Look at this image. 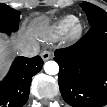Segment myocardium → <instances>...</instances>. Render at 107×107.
Returning <instances> with one entry per match:
<instances>
[{
	"label": "myocardium",
	"mask_w": 107,
	"mask_h": 107,
	"mask_svg": "<svg viewBox=\"0 0 107 107\" xmlns=\"http://www.w3.org/2000/svg\"><path fill=\"white\" fill-rule=\"evenodd\" d=\"M82 33L83 25L79 20L75 19L67 31V36L71 40H76L82 35Z\"/></svg>",
	"instance_id": "1"
}]
</instances>
